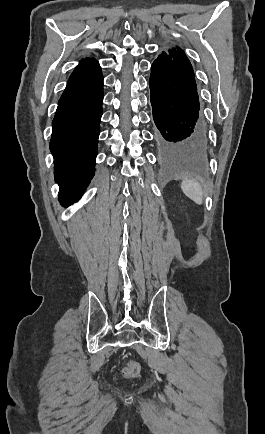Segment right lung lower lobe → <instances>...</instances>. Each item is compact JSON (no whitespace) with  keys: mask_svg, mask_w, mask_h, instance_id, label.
Here are the masks:
<instances>
[{"mask_svg":"<svg viewBox=\"0 0 265 434\" xmlns=\"http://www.w3.org/2000/svg\"><path fill=\"white\" fill-rule=\"evenodd\" d=\"M102 102L99 63L86 57L71 74L52 122L50 149L59 201L65 206L81 197L94 175Z\"/></svg>","mask_w":265,"mask_h":434,"instance_id":"right-lung-lower-lobe-1","label":"right lung lower lobe"}]
</instances>
